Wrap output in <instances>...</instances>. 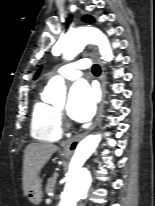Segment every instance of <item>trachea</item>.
<instances>
[{"label": "trachea", "mask_w": 155, "mask_h": 206, "mask_svg": "<svg viewBox=\"0 0 155 206\" xmlns=\"http://www.w3.org/2000/svg\"><path fill=\"white\" fill-rule=\"evenodd\" d=\"M92 72H93V74H95V75H100L101 69H100L99 65L94 64V65L92 66Z\"/></svg>", "instance_id": "1"}]
</instances>
